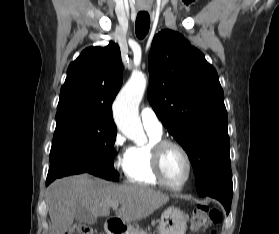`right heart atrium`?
Segmentation results:
<instances>
[{
  "mask_svg": "<svg viewBox=\"0 0 279 234\" xmlns=\"http://www.w3.org/2000/svg\"><path fill=\"white\" fill-rule=\"evenodd\" d=\"M113 149L119 152V156L116 160L115 166L119 169L122 166L123 158L127 152L125 148V138L121 133H117L113 139Z\"/></svg>",
  "mask_w": 279,
  "mask_h": 234,
  "instance_id": "1",
  "label": "right heart atrium"
}]
</instances>
